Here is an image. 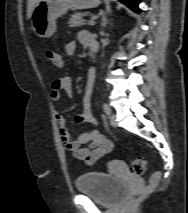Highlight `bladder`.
Returning <instances> with one entry per match:
<instances>
[{
    "mask_svg": "<svg viewBox=\"0 0 188 213\" xmlns=\"http://www.w3.org/2000/svg\"><path fill=\"white\" fill-rule=\"evenodd\" d=\"M75 185L79 192L103 206L118 204L127 192L125 182L106 172H85L77 177Z\"/></svg>",
    "mask_w": 188,
    "mask_h": 213,
    "instance_id": "obj_1",
    "label": "bladder"
}]
</instances>
